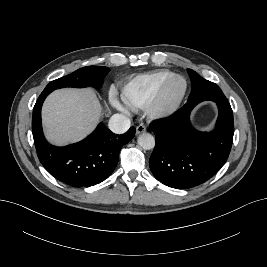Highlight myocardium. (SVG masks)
<instances>
[{"mask_svg": "<svg viewBox=\"0 0 267 267\" xmlns=\"http://www.w3.org/2000/svg\"><path fill=\"white\" fill-rule=\"evenodd\" d=\"M176 79H181L184 82L183 91L180 94V96L173 102H166L165 101L166 92L171 83ZM187 91H188V82L185 79V77L179 74L172 75L161 84V86L155 93L154 97L146 106V112L148 116L152 119H162L171 116L180 108L182 102L186 97Z\"/></svg>", "mask_w": 267, "mask_h": 267, "instance_id": "obj_1", "label": "myocardium"}]
</instances>
